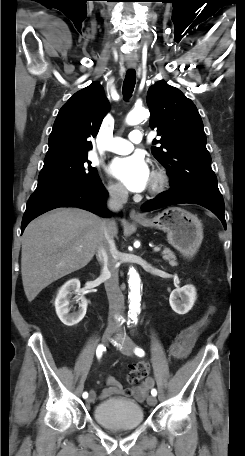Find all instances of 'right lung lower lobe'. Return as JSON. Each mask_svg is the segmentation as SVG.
Instances as JSON below:
<instances>
[{
  "label": "right lung lower lobe",
  "instance_id": "obj_1",
  "mask_svg": "<svg viewBox=\"0 0 245 456\" xmlns=\"http://www.w3.org/2000/svg\"><path fill=\"white\" fill-rule=\"evenodd\" d=\"M107 191L101 180L79 187H66L42 193H33L27 203L23 216L21 232L30 221L39 215L58 207H78L91 211L100 216H111L104 208Z\"/></svg>",
  "mask_w": 245,
  "mask_h": 456
}]
</instances>
